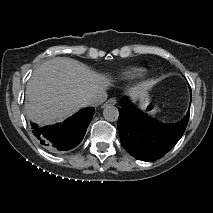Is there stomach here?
Listing matches in <instances>:
<instances>
[{"label": "stomach", "instance_id": "stomach-1", "mask_svg": "<svg viewBox=\"0 0 213 213\" xmlns=\"http://www.w3.org/2000/svg\"><path fill=\"white\" fill-rule=\"evenodd\" d=\"M140 105L144 110H146L150 106L149 102L147 100H144V99H141Z\"/></svg>", "mask_w": 213, "mask_h": 213}]
</instances>
